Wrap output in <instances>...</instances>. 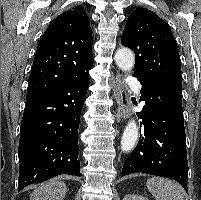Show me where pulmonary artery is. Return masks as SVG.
Instances as JSON below:
<instances>
[{
	"label": "pulmonary artery",
	"mask_w": 201,
	"mask_h": 200,
	"mask_svg": "<svg viewBox=\"0 0 201 200\" xmlns=\"http://www.w3.org/2000/svg\"><path fill=\"white\" fill-rule=\"evenodd\" d=\"M128 82L133 87H140V84L138 83V81L133 77H129Z\"/></svg>",
	"instance_id": "1"
}]
</instances>
